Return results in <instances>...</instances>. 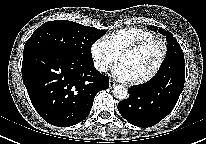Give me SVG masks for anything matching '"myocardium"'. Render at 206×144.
Listing matches in <instances>:
<instances>
[{
	"label": "myocardium",
	"instance_id": "obj_1",
	"mask_svg": "<svg viewBox=\"0 0 206 144\" xmlns=\"http://www.w3.org/2000/svg\"><path fill=\"white\" fill-rule=\"evenodd\" d=\"M152 42H157L159 43L160 47H161V55H160V58L156 64V66L154 67V69L146 76L140 78V79H135V80H132L133 84L135 85H143V84H146L150 81H152L158 74L159 72L161 71L164 63H165V60L167 58V54H168V46H167V43L166 41L161 38V37H158V36H150V37H147L145 39H142L136 43H133L127 47H125L121 52L120 54L118 55V60L119 62H121V60L127 56V55H130V54H133L137 51H139L140 49H142L143 47H145L146 45L152 43Z\"/></svg>",
	"mask_w": 206,
	"mask_h": 144
}]
</instances>
